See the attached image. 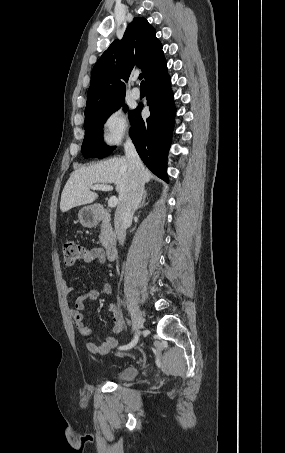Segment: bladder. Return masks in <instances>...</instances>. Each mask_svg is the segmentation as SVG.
I'll use <instances>...</instances> for the list:
<instances>
[{
    "label": "bladder",
    "instance_id": "1",
    "mask_svg": "<svg viewBox=\"0 0 285 453\" xmlns=\"http://www.w3.org/2000/svg\"><path fill=\"white\" fill-rule=\"evenodd\" d=\"M138 375V369L134 366H124L113 373V378L119 381L131 380Z\"/></svg>",
    "mask_w": 285,
    "mask_h": 453
}]
</instances>
